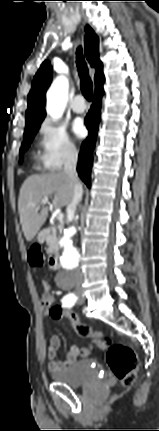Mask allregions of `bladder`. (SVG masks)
<instances>
[{
    "label": "bladder",
    "instance_id": "obj_1",
    "mask_svg": "<svg viewBox=\"0 0 159 431\" xmlns=\"http://www.w3.org/2000/svg\"><path fill=\"white\" fill-rule=\"evenodd\" d=\"M51 377L55 382L78 388L105 377V371L94 359L85 358L69 367L52 370Z\"/></svg>",
    "mask_w": 159,
    "mask_h": 431
}]
</instances>
